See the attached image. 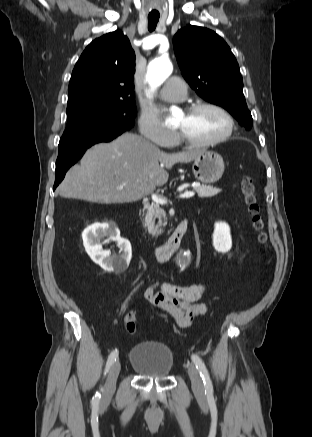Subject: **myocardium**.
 <instances>
[{"instance_id":"obj_1","label":"myocardium","mask_w":312,"mask_h":437,"mask_svg":"<svg viewBox=\"0 0 312 437\" xmlns=\"http://www.w3.org/2000/svg\"><path fill=\"white\" fill-rule=\"evenodd\" d=\"M203 109H212L220 113L227 122L226 130L221 135L205 141L193 140L189 138L183 131L179 130L178 136L181 143L191 147H209L227 140L233 134L235 129V120L231 113L220 104L213 102H198L188 107L187 114H193Z\"/></svg>"}]
</instances>
